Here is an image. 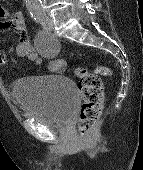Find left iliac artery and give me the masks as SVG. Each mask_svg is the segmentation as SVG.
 <instances>
[{
  "instance_id": "left-iliac-artery-1",
  "label": "left iliac artery",
  "mask_w": 143,
  "mask_h": 170,
  "mask_svg": "<svg viewBox=\"0 0 143 170\" xmlns=\"http://www.w3.org/2000/svg\"><path fill=\"white\" fill-rule=\"evenodd\" d=\"M35 20L40 23L44 28L47 27V17L46 15H39Z\"/></svg>"
}]
</instances>
